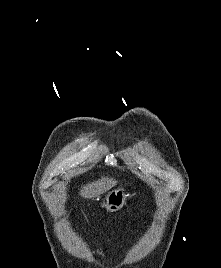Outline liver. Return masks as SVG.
<instances>
[{"mask_svg":"<svg viewBox=\"0 0 221 268\" xmlns=\"http://www.w3.org/2000/svg\"><path fill=\"white\" fill-rule=\"evenodd\" d=\"M116 184H117L116 180L108 177H102L100 180L94 183L83 186L82 189L80 190V195L84 198L89 199L98 197L99 195L110 190Z\"/></svg>","mask_w":221,"mask_h":268,"instance_id":"6515ba94","label":"liver"}]
</instances>
